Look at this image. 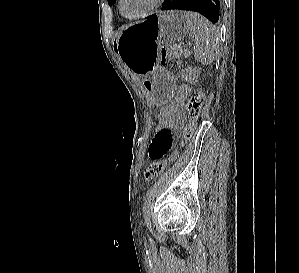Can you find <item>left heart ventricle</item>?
Segmentation results:
<instances>
[{"label":"left heart ventricle","mask_w":299,"mask_h":273,"mask_svg":"<svg viewBox=\"0 0 299 273\" xmlns=\"http://www.w3.org/2000/svg\"><path fill=\"white\" fill-rule=\"evenodd\" d=\"M154 0H123L122 9L124 14L135 16L144 12Z\"/></svg>","instance_id":"1"}]
</instances>
